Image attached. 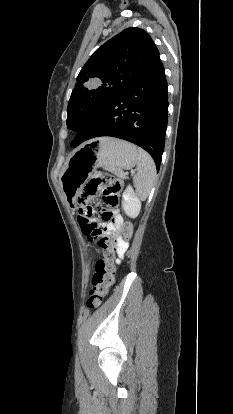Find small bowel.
<instances>
[{
  "label": "small bowel",
  "mask_w": 233,
  "mask_h": 414,
  "mask_svg": "<svg viewBox=\"0 0 233 414\" xmlns=\"http://www.w3.org/2000/svg\"><path fill=\"white\" fill-rule=\"evenodd\" d=\"M91 214H92V210L90 208V216ZM89 223L95 225L96 227L98 225V221L96 218L89 217ZM123 223H124L123 219L118 213V211L112 210L110 211L107 217L104 216V223L102 224V230L104 232H107V233H110L116 236L118 251L121 254L124 253V251L127 249V243H125L124 240L120 236L121 233L123 232ZM117 262L119 263L120 260L117 259Z\"/></svg>",
  "instance_id": "small-bowel-1"
}]
</instances>
